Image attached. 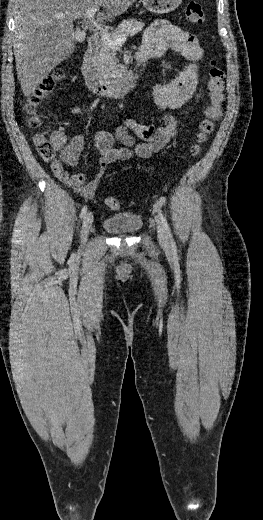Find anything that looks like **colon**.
<instances>
[{
    "label": "colon",
    "mask_w": 263,
    "mask_h": 520,
    "mask_svg": "<svg viewBox=\"0 0 263 520\" xmlns=\"http://www.w3.org/2000/svg\"><path fill=\"white\" fill-rule=\"evenodd\" d=\"M185 18L188 22L200 24L204 22V12L200 3L191 1L185 9ZM63 74L61 70L54 71L51 75L41 81L39 86L30 95L26 104V111L29 114V124L33 128L40 125L37 117V111L41 103L47 99L55 90L57 83L61 80ZM224 71L217 60H212L208 69L207 92L209 97V105L205 110V119L200 124V131L197 135V142L193 145L191 152L198 155L202 146L208 141L212 135L216 122L222 114V104L224 101ZM34 143L40 157L45 161H50L55 157L57 147L51 138L37 134ZM106 206L117 211L121 208V202L118 198L108 197L105 200Z\"/></svg>",
    "instance_id": "5ec220e1"
}]
</instances>
